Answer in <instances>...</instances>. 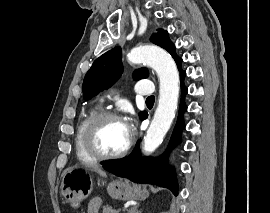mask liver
<instances>
[{
  "instance_id": "1",
  "label": "liver",
  "mask_w": 270,
  "mask_h": 213,
  "mask_svg": "<svg viewBox=\"0 0 270 213\" xmlns=\"http://www.w3.org/2000/svg\"><path fill=\"white\" fill-rule=\"evenodd\" d=\"M92 170H94L95 172H97L98 174H100L101 176L105 177L106 176V172L103 171L101 168H99L98 166H93Z\"/></svg>"
}]
</instances>
